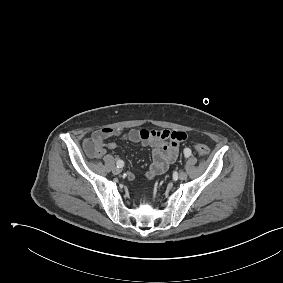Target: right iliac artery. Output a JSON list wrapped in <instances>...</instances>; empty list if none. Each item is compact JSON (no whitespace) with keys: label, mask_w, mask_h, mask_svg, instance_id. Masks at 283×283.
<instances>
[{"label":"right iliac artery","mask_w":283,"mask_h":283,"mask_svg":"<svg viewBox=\"0 0 283 283\" xmlns=\"http://www.w3.org/2000/svg\"><path fill=\"white\" fill-rule=\"evenodd\" d=\"M116 165H117L118 168H122L124 166V162L122 160H118L116 162Z\"/></svg>","instance_id":"right-iliac-artery-1"}]
</instances>
